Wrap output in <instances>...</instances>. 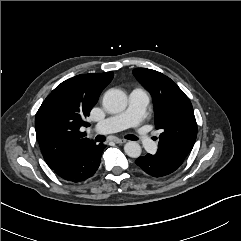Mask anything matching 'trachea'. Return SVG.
<instances>
[{
    "label": "trachea",
    "mask_w": 241,
    "mask_h": 241,
    "mask_svg": "<svg viewBox=\"0 0 241 241\" xmlns=\"http://www.w3.org/2000/svg\"><path fill=\"white\" fill-rule=\"evenodd\" d=\"M126 139H129V140H138V138H137L136 136H134V135H127V136H126ZM95 140H96L97 142H104V141H105V137L102 136V135H97L96 138H95Z\"/></svg>",
    "instance_id": "obj_1"
}]
</instances>
